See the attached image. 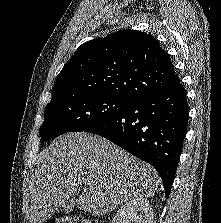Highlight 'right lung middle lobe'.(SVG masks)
Here are the masks:
<instances>
[{
  "instance_id": "1",
  "label": "right lung middle lobe",
  "mask_w": 221,
  "mask_h": 223,
  "mask_svg": "<svg viewBox=\"0 0 221 223\" xmlns=\"http://www.w3.org/2000/svg\"><path fill=\"white\" fill-rule=\"evenodd\" d=\"M133 101L106 95H82L46 106L39 135L41 145L61 134L86 131L127 109Z\"/></svg>"
}]
</instances>
